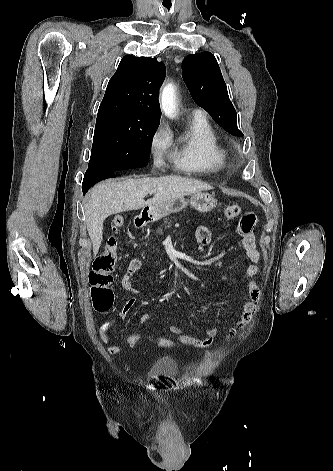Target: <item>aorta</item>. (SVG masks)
<instances>
[{
    "mask_svg": "<svg viewBox=\"0 0 333 471\" xmlns=\"http://www.w3.org/2000/svg\"><path fill=\"white\" fill-rule=\"evenodd\" d=\"M161 108L166 116L173 118L176 112V95L173 84H167L161 93Z\"/></svg>",
    "mask_w": 333,
    "mask_h": 471,
    "instance_id": "aorta-1",
    "label": "aorta"
}]
</instances>
